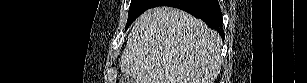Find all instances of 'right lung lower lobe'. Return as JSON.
I'll use <instances>...</instances> for the list:
<instances>
[{"mask_svg":"<svg viewBox=\"0 0 307 83\" xmlns=\"http://www.w3.org/2000/svg\"><path fill=\"white\" fill-rule=\"evenodd\" d=\"M163 5L184 10L202 19L211 29L217 30L224 38L222 12L218 0H153L151 7Z\"/></svg>","mask_w":307,"mask_h":83,"instance_id":"98d812e1","label":"right lung lower lobe"}]
</instances>
